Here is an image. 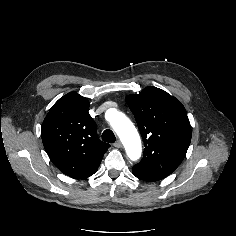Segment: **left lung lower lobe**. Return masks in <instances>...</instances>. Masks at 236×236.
I'll list each match as a JSON object with an SVG mask.
<instances>
[{"mask_svg": "<svg viewBox=\"0 0 236 236\" xmlns=\"http://www.w3.org/2000/svg\"><path fill=\"white\" fill-rule=\"evenodd\" d=\"M132 172L134 176L144 181L155 182L164 179V177L151 173L148 169L139 165H135Z\"/></svg>", "mask_w": 236, "mask_h": 236, "instance_id": "left-lung-lower-lobe-1", "label": "left lung lower lobe"}]
</instances>
